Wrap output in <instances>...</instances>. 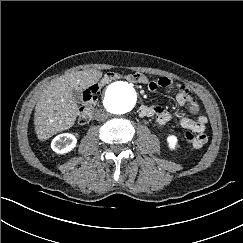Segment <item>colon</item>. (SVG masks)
I'll return each instance as SVG.
<instances>
[{
  "instance_id": "1",
  "label": "colon",
  "mask_w": 243,
  "mask_h": 243,
  "mask_svg": "<svg viewBox=\"0 0 243 243\" xmlns=\"http://www.w3.org/2000/svg\"><path fill=\"white\" fill-rule=\"evenodd\" d=\"M119 78H125L126 80L132 82V83H141L146 84L148 82L147 77L139 72L127 74V75H121L116 72H109L104 75L102 78L100 84H95L91 87H89L83 94V104L81 108L79 109L78 113V120L80 123L85 124L89 122L92 116V111L95 106V103L97 101V96L99 94L101 85H104L112 80L119 79ZM185 139L191 143L192 145L195 144L198 141L197 135H195L191 131H187L185 133Z\"/></svg>"
}]
</instances>
